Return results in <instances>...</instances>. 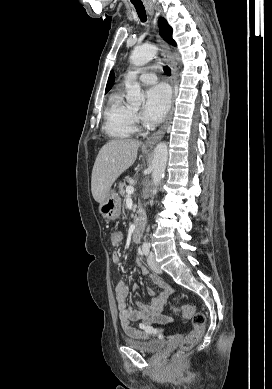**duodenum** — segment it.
<instances>
[{"label": "duodenum", "instance_id": "duodenum-1", "mask_svg": "<svg viewBox=\"0 0 272 389\" xmlns=\"http://www.w3.org/2000/svg\"><path fill=\"white\" fill-rule=\"evenodd\" d=\"M143 232V219L142 214L139 212L134 223L132 238L135 242H139Z\"/></svg>", "mask_w": 272, "mask_h": 389}]
</instances>
